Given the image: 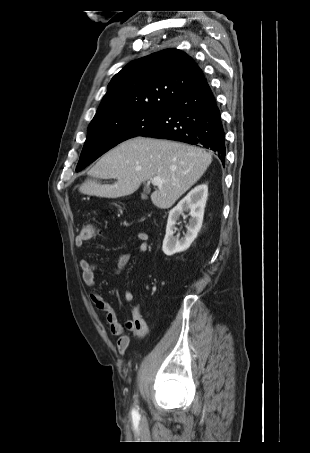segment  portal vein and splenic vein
<instances>
[{"instance_id": "obj_1", "label": "portal vein and splenic vein", "mask_w": 310, "mask_h": 453, "mask_svg": "<svg viewBox=\"0 0 310 453\" xmlns=\"http://www.w3.org/2000/svg\"><path fill=\"white\" fill-rule=\"evenodd\" d=\"M151 182L154 186H161L165 182V180L161 179L160 177H154Z\"/></svg>"}]
</instances>
